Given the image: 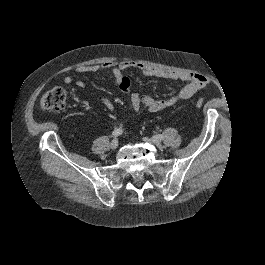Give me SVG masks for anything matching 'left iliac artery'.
Segmentation results:
<instances>
[{
	"label": "left iliac artery",
	"mask_w": 265,
	"mask_h": 265,
	"mask_svg": "<svg viewBox=\"0 0 265 265\" xmlns=\"http://www.w3.org/2000/svg\"><path fill=\"white\" fill-rule=\"evenodd\" d=\"M153 139H154L155 141H161V140L163 139V136H162L161 134L154 135V136H153Z\"/></svg>",
	"instance_id": "obj_1"
}]
</instances>
